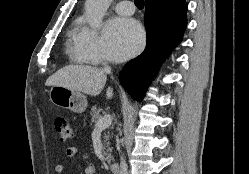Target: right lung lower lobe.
Returning a JSON list of instances; mask_svg holds the SVG:
<instances>
[{"instance_id":"right-lung-lower-lobe-1","label":"right lung lower lobe","mask_w":249,"mask_h":174,"mask_svg":"<svg viewBox=\"0 0 249 174\" xmlns=\"http://www.w3.org/2000/svg\"><path fill=\"white\" fill-rule=\"evenodd\" d=\"M185 0L146 1L144 24L147 45L141 55L131 60L120 73L121 85L135 100L157 73L162 61L182 40L187 25Z\"/></svg>"}]
</instances>
